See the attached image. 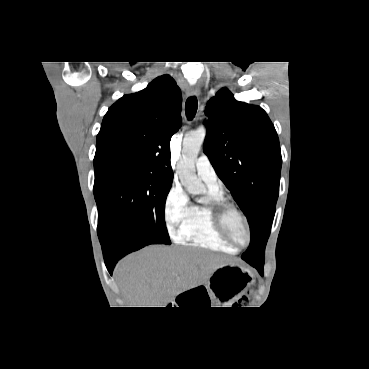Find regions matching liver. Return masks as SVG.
<instances>
[{
    "instance_id": "6515ba94",
    "label": "liver",
    "mask_w": 369,
    "mask_h": 369,
    "mask_svg": "<svg viewBox=\"0 0 369 369\" xmlns=\"http://www.w3.org/2000/svg\"><path fill=\"white\" fill-rule=\"evenodd\" d=\"M226 258L198 248L149 246L115 269L130 307H166L186 290L208 281Z\"/></svg>"
}]
</instances>
